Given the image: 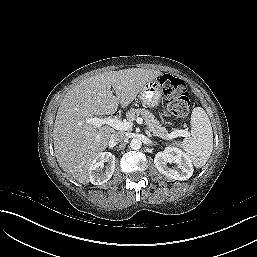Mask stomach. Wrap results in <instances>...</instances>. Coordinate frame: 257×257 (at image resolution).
I'll return each instance as SVG.
<instances>
[{"label": "stomach", "instance_id": "stomach-1", "mask_svg": "<svg viewBox=\"0 0 257 257\" xmlns=\"http://www.w3.org/2000/svg\"><path fill=\"white\" fill-rule=\"evenodd\" d=\"M142 104L149 108L157 107L162 98L161 86L157 80L147 82L139 92Z\"/></svg>", "mask_w": 257, "mask_h": 257}]
</instances>
